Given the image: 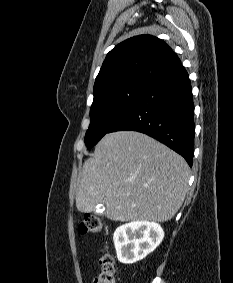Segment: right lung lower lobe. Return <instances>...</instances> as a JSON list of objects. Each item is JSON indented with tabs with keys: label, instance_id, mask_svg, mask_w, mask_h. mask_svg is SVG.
<instances>
[{
	"label": "right lung lower lobe",
	"instance_id": "1",
	"mask_svg": "<svg viewBox=\"0 0 233 283\" xmlns=\"http://www.w3.org/2000/svg\"><path fill=\"white\" fill-rule=\"evenodd\" d=\"M138 131L167 145L193 163L194 103L188 73L180 63L156 77L111 127Z\"/></svg>",
	"mask_w": 233,
	"mask_h": 283
}]
</instances>
